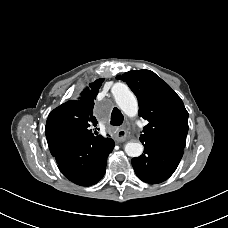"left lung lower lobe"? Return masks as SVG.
I'll return each instance as SVG.
<instances>
[{
    "instance_id": "1",
    "label": "left lung lower lobe",
    "mask_w": 228,
    "mask_h": 228,
    "mask_svg": "<svg viewBox=\"0 0 228 228\" xmlns=\"http://www.w3.org/2000/svg\"><path fill=\"white\" fill-rule=\"evenodd\" d=\"M144 154L132 159L137 176L150 184L161 183L176 170L183 148L165 142H144Z\"/></svg>"
}]
</instances>
